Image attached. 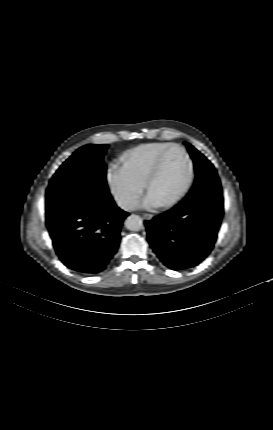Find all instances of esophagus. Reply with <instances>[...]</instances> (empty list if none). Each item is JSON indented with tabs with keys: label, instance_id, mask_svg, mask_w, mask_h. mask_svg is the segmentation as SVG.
<instances>
[{
	"label": "esophagus",
	"instance_id": "1",
	"mask_svg": "<svg viewBox=\"0 0 273 430\" xmlns=\"http://www.w3.org/2000/svg\"><path fill=\"white\" fill-rule=\"evenodd\" d=\"M143 217H144L145 219H147V220H151V219L153 218V215H152V214H150V213H144V214H143Z\"/></svg>",
	"mask_w": 273,
	"mask_h": 430
}]
</instances>
